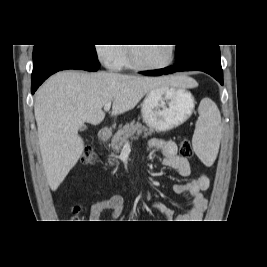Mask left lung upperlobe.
Wrapping results in <instances>:
<instances>
[{
	"label": "left lung upper lobe",
	"instance_id": "1",
	"mask_svg": "<svg viewBox=\"0 0 267 267\" xmlns=\"http://www.w3.org/2000/svg\"><path fill=\"white\" fill-rule=\"evenodd\" d=\"M205 46L208 45H177V48L175 50L177 58L176 64L184 62L190 54Z\"/></svg>",
	"mask_w": 267,
	"mask_h": 267
}]
</instances>
